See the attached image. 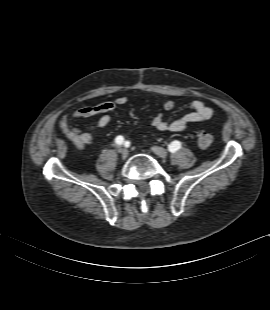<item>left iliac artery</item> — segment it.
<instances>
[{"label":"left iliac artery","mask_w":270,"mask_h":310,"mask_svg":"<svg viewBox=\"0 0 270 310\" xmlns=\"http://www.w3.org/2000/svg\"><path fill=\"white\" fill-rule=\"evenodd\" d=\"M168 148L170 152H175L181 148V143L179 141H173Z\"/></svg>","instance_id":"1"}]
</instances>
